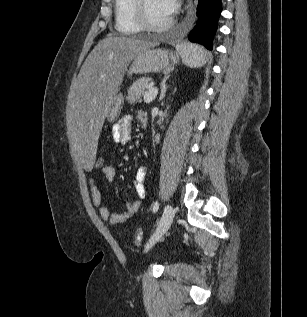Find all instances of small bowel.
Returning a JSON list of instances; mask_svg holds the SVG:
<instances>
[{
	"label": "small bowel",
	"instance_id": "obj_1",
	"mask_svg": "<svg viewBox=\"0 0 307 317\" xmlns=\"http://www.w3.org/2000/svg\"><path fill=\"white\" fill-rule=\"evenodd\" d=\"M146 116L143 112L138 113L139 120L141 117ZM132 117L130 115H125L120 118V120L112 127V137L113 140L119 145H127L131 140V127ZM102 174L107 181H113L116 176L115 168L112 166H104L102 168ZM147 176V168L142 166L139 167L135 177L133 179V188L137 199L127 202L125 209L122 212H113L108 209L102 203L101 193L96 184L94 178L90 179V191L92 202L94 206L98 209L101 218L108 221L111 224H118L127 221L134 213H136L141 207V199L145 197V180Z\"/></svg>",
	"mask_w": 307,
	"mask_h": 317
}]
</instances>
